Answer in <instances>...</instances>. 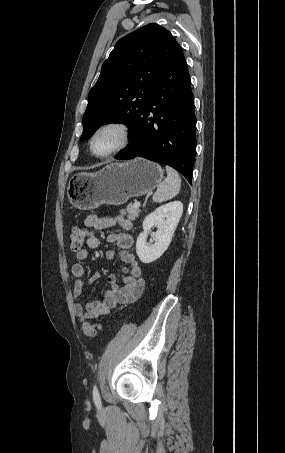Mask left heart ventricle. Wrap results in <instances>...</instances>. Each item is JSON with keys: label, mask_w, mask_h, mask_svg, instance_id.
<instances>
[{"label": "left heart ventricle", "mask_w": 285, "mask_h": 453, "mask_svg": "<svg viewBox=\"0 0 285 453\" xmlns=\"http://www.w3.org/2000/svg\"><path fill=\"white\" fill-rule=\"evenodd\" d=\"M120 142V135L116 130L108 129L95 138L93 149L97 154H105L114 149Z\"/></svg>", "instance_id": "left-heart-ventricle-1"}]
</instances>
